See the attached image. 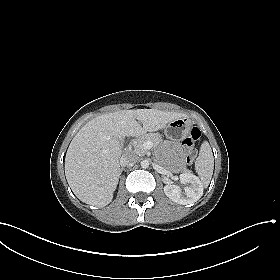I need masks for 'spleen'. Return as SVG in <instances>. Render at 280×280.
Returning a JSON list of instances; mask_svg holds the SVG:
<instances>
[{
    "instance_id": "obj_1",
    "label": "spleen",
    "mask_w": 280,
    "mask_h": 280,
    "mask_svg": "<svg viewBox=\"0 0 280 280\" xmlns=\"http://www.w3.org/2000/svg\"><path fill=\"white\" fill-rule=\"evenodd\" d=\"M214 169L212 149L207 141L201 144L199 156L195 162V170L201 179L202 185L208 187Z\"/></svg>"
}]
</instances>
